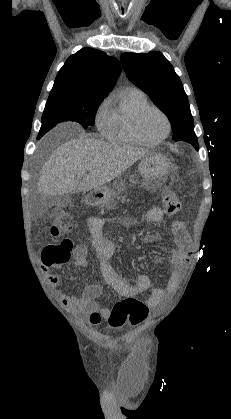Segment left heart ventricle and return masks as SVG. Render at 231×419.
I'll return each mask as SVG.
<instances>
[{"mask_svg":"<svg viewBox=\"0 0 231 419\" xmlns=\"http://www.w3.org/2000/svg\"><path fill=\"white\" fill-rule=\"evenodd\" d=\"M141 129L148 139L154 140L164 135L167 125L158 111L149 110L142 118Z\"/></svg>","mask_w":231,"mask_h":419,"instance_id":"obj_1","label":"left heart ventricle"}]
</instances>
